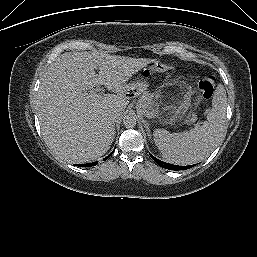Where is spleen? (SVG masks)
<instances>
[{"mask_svg":"<svg viewBox=\"0 0 257 257\" xmlns=\"http://www.w3.org/2000/svg\"><path fill=\"white\" fill-rule=\"evenodd\" d=\"M226 92L220 85L212 99L207 121L190 131L170 133L156 129L154 142L164 161L177 165L200 162L213 152L226 133Z\"/></svg>","mask_w":257,"mask_h":257,"instance_id":"3e777b00","label":"spleen"}]
</instances>
